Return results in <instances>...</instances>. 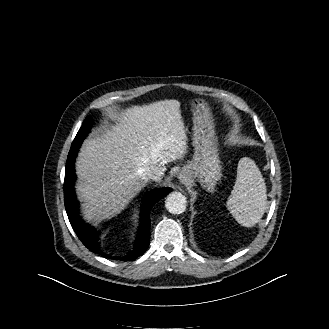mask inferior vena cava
<instances>
[{
    "label": "inferior vena cava",
    "instance_id": "obj_1",
    "mask_svg": "<svg viewBox=\"0 0 329 329\" xmlns=\"http://www.w3.org/2000/svg\"><path fill=\"white\" fill-rule=\"evenodd\" d=\"M162 172L158 168H145L141 171L140 176L144 181L161 179Z\"/></svg>",
    "mask_w": 329,
    "mask_h": 329
}]
</instances>
